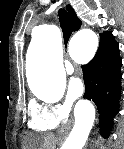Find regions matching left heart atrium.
<instances>
[{"mask_svg": "<svg viewBox=\"0 0 124 149\" xmlns=\"http://www.w3.org/2000/svg\"><path fill=\"white\" fill-rule=\"evenodd\" d=\"M84 91V85L81 79L73 78L69 82L68 97L71 100H75L81 97Z\"/></svg>", "mask_w": 124, "mask_h": 149, "instance_id": "1", "label": "left heart atrium"}]
</instances>
